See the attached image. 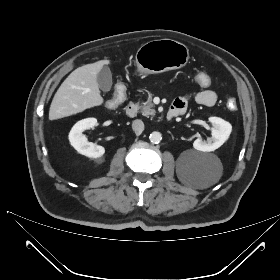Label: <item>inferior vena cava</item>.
Returning a JSON list of instances; mask_svg holds the SVG:
<instances>
[{"mask_svg": "<svg viewBox=\"0 0 280 280\" xmlns=\"http://www.w3.org/2000/svg\"><path fill=\"white\" fill-rule=\"evenodd\" d=\"M132 129L136 135H140L144 130V123L142 120L136 119L132 122Z\"/></svg>", "mask_w": 280, "mask_h": 280, "instance_id": "obj_1", "label": "inferior vena cava"}]
</instances>
